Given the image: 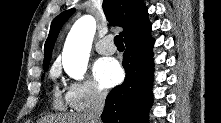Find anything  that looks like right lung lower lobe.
<instances>
[{
  "mask_svg": "<svg viewBox=\"0 0 221 123\" xmlns=\"http://www.w3.org/2000/svg\"><path fill=\"white\" fill-rule=\"evenodd\" d=\"M154 39L150 32L125 42L124 82L108 94L101 115L104 123H145L152 103Z\"/></svg>",
  "mask_w": 221,
  "mask_h": 123,
  "instance_id": "obj_1",
  "label": "right lung lower lobe"
}]
</instances>
